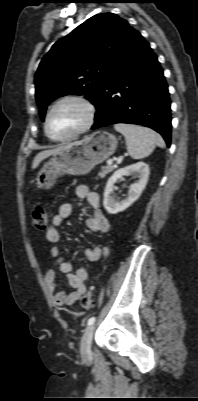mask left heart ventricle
Returning <instances> with one entry per match:
<instances>
[{
  "label": "left heart ventricle",
  "mask_w": 198,
  "mask_h": 401,
  "mask_svg": "<svg viewBox=\"0 0 198 401\" xmlns=\"http://www.w3.org/2000/svg\"><path fill=\"white\" fill-rule=\"evenodd\" d=\"M86 120L85 109L76 102L60 104L49 119V132L55 138L64 137L77 131Z\"/></svg>",
  "instance_id": "b2bd125f"
}]
</instances>
